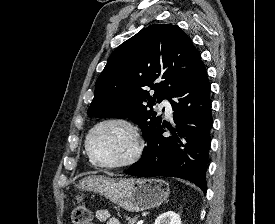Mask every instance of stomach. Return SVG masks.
Returning a JSON list of instances; mask_svg holds the SVG:
<instances>
[{
	"label": "stomach",
	"mask_w": 275,
	"mask_h": 224,
	"mask_svg": "<svg viewBox=\"0 0 275 224\" xmlns=\"http://www.w3.org/2000/svg\"><path fill=\"white\" fill-rule=\"evenodd\" d=\"M78 189L98 193L130 212H141L164 203L169 185L162 179L109 178L88 176L79 181Z\"/></svg>",
	"instance_id": "1"
}]
</instances>
